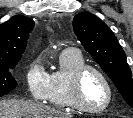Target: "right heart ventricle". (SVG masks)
I'll return each mask as SVG.
<instances>
[{"label": "right heart ventricle", "instance_id": "e07e8e85", "mask_svg": "<svg viewBox=\"0 0 133 118\" xmlns=\"http://www.w3.org/2000/svg\"><path fill=\"white\" fill-rule=\"evenodd\" d=\"M82 53L76 49H66L59 56V67L49 75L47 100L59 108H76L71 99V79L78 68L85 65Z\"/></svg>", "mask_w": 133, "mask_h": 118}]
</instances>
